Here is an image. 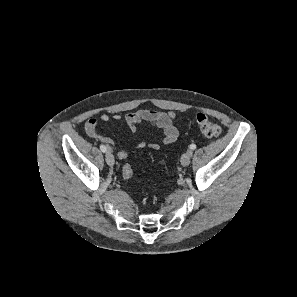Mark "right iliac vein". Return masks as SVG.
Masks as SVG:
<instances>
[{
    "instance_id": "obj_1",
    "label": "right iliac vein",
    "mask_w": 297,
    "mask_h": 297,
    "mask_svg": "<svg viewBox=\"0 0 297 297\" xmlns=\"http://www.w3.org/2000/svg\"><path fill=\"white\" fill-rule=\"evenodd\" d=\"M105 160H106V163L109 165V166H113L114 165V156L111 154V152H107L106 155H105Z\"/></svg>"
}]
</instances>
